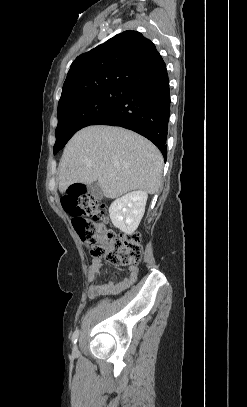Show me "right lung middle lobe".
<instances>
[{"instance_id": "1", "label": "right lung middle lobe", "mask_w": 247, "mask_h": 407, "mask_svg": "<svg viewBox=\"0 0 247 407\" xmlns=\"http://www.w3.org/2000/svg\"><path fill=\"white\" fill-rule=\"evenodd\" d=\"M131 91L132 88L125 86L110 87L58 107L54 154L59 152L78 130L93 125Z\"/></svg>"}]
</instances>
